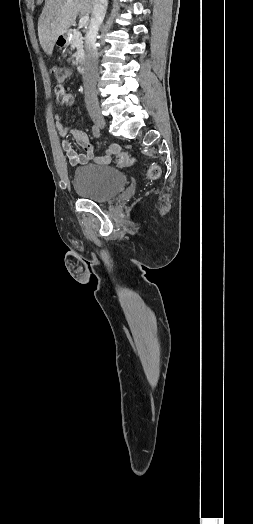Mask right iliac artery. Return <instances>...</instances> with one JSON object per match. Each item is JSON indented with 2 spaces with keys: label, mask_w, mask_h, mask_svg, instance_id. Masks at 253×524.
I'll return each instance as SVG.
<instances>
[{
  "label": "right iliac artery",
  "mask_w": 253,
  "mask_h": 524,
  "mask_svg": "<svg viewBox=\"0 0 253 524\" xmlns=\"http://www.w3.org/2000/svg\"><path fill=\"white\" fill-rule=\"evenodd\" d=\"M92 133H93L94 137H96V138L100 137V130H99L98 126H96V125L92 126Z\"/></svg>",
  "instance_id": "1"
}]
</instances>
